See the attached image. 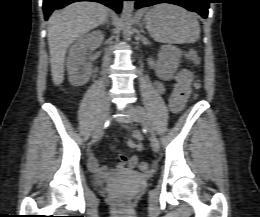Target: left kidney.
Instances as JSON below:
<instances>
[{
  "instance_id": "5707ae66",
  "label": "left kidney",
  "mask_w": 260,
  "mask_h": 217,
  "mask_svg": "<svg viewBox=\"0 0 260 217\" xmlns=\"http://www.w3.org/2000/svg\"><path fill=\"white\" fill-rule=\"evenodd\" d=\"M181 50L176 46L164 45L158 53L156 73L163 80L167 81L180 65Z\"/></svg>"
}]
</instances>
